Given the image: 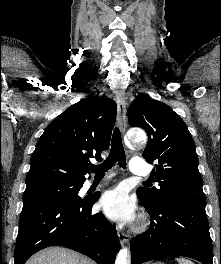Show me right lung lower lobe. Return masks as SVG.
Wrapping results in <instances>:
<instances>
[{
  "instance_id": "1",
  "label": "right lung lower lobe",
  "mask_w": 221,
  "mask_h": 264,
  "mask_svg": "<svg viewBox=\"0 0 221 264\" xmlns=\"http://www.w3.org/2000/svg\"><path fill=\"white\" fill-rule=\"evenodd\" d=\"M98 198L23 200L14 264H24L37 251L56 245L80 252L98 264H114L121 245L115 226L103 214L91 213Z\"/></svg>"
}]
</instances>
